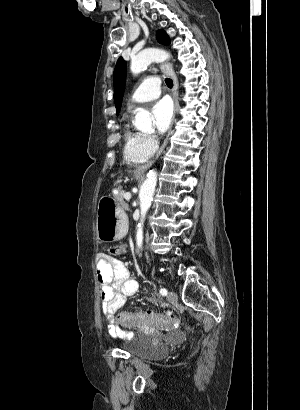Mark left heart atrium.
<instances>
[{
  "label": "left heart atrium",
  "mask_w": 300,
  "mask_h": 410,
  "mask_svg": "<svg viewBox=\"0 0 300 410\" xmlns=\"http://www.w3.org/2000/svg\"><path fill=\"white\" fill-rule=\"evenodd\" d=\"M152 114L157 132L159 134H164L167 132L173 118V108L171 102L167 99L158 101L152 108Z\"/></svg>",
  "instance_id": "left-heart-atrium-1"
}]
</instances>
